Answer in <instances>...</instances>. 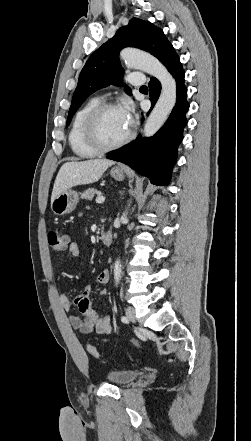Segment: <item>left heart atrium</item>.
<instances>
[{"label": "left heart atrium", "mask_w": 251, "mask_h": 441, "mask_svg": "<svg viewBox=\"0 0 251 441\" xmlns=\"http://www.w3.org/2000/svg\"><path fill=\"white\" fill-rule=\"evenodd\" d=\"M127 122L129 125L132 124L133 107L130 103L126 102L121 108Z\"/></svg>", "instance_id": "obj_1"}]
</instances>
